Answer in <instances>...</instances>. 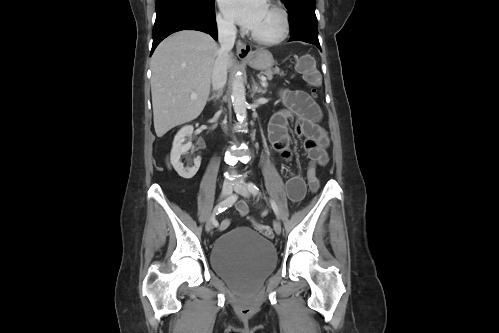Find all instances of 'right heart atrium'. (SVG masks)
<instances>
[{"label": "right heart atrium", "mask_w": 499, "mask_h": 333, "mask_svg": "<svg viewBox=\"0 0 499 333\" xmlns=\"http://www.w3.org/2000/svg\"><path fill=\"white\" fill-rule=\"evenodd\" d=\"M216 24L223 33L232 34L234 32V25L221 14L216 16Z\"/></svg>", "instance_id": "1"}]
</instances>
